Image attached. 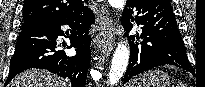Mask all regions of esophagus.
<instances>
[{
    "label": "esophagus",
    "instance_id": "34e87169",
    "mask_svg": "<svg viewBox=\"0 0 205 87\" xmlns=\"http://www.w3.org/2000/svg\"><path fill=\"white\" fill-rule=\"evenodd\" d=\"M98 17H99V31L100 34L106 38V43L103 45V55L108 56L116 46L115 37L118 35V29L110 17V13L104 4L98 5Z\"/></svg>",
    "mask_w": 205,
    "mask_h": 87
}]
</instances>
